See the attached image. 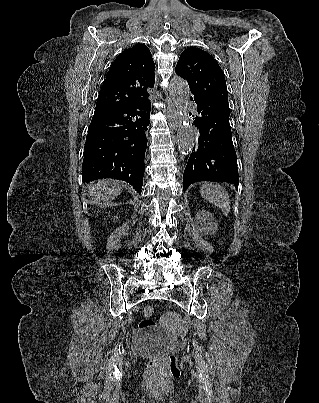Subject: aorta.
Here are the masks:
<instances>
[{
	"mask_svg": "<svg viewBox=\"0 0 319 403\" xmlns=\"http://www.w3.org/2000/svg\"><path fill=\"white\" fill-rule=\"evenodd\" d=\"M169 93L178 115V148L182 154H188L195 143L194 131L189 124L188 101L189 86L186 80L174 77L170 81Z\"/></svg>",
	"mask_w": 319,
	"mask_h": 403,
	"instance_id": "obj_1",
	"label": "aorta"
}]
</instances>
